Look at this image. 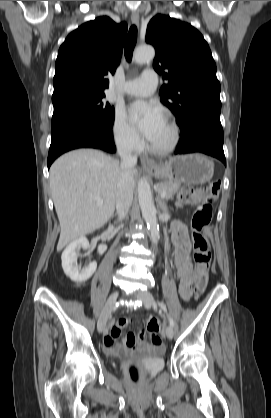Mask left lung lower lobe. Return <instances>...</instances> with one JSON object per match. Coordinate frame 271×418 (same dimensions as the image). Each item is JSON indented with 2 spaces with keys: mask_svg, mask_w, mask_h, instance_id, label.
<instances>
[{
  "mask_svg": "<svg viewBox=\"0 0 271 418\" xmlns=\"http://www.w3.org/2000/svg\"><path fill=\"white\" fill-rule=\"evenodd\" d=\"M179 126L182 135L175 154L201 152L221 160L226 165L220 116L200 115Z\"/></svg>",
  "mask_w": 271,
  "mask_h": 418,
  "instance_id": "0a47b994",
  "label": "left lung lower lobe"
}]
</instances>
